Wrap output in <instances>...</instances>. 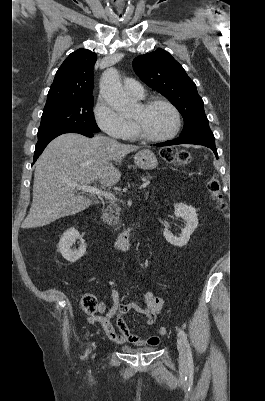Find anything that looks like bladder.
<instances>
[{"instance_id":"31cf9c89","label":"bladder","mask_w":265,"mask_h":401,"mask_svg":"<svg viewBox=\"0 0 265 401\" xmlns=\"http://www.w3.org/2000/svg\"><path fill=\"white\" fill-rule=\"evenodd\" d=\"M123 350H125L127 352H130V353L139 352V351L148 352V351H153L154 347H147V348H144V349H137V348H134V347H123Z\"/></svg>"}]
</instances>
